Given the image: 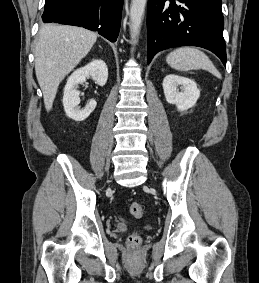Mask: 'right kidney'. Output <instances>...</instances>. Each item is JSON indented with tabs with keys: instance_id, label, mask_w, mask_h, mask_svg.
Masks as SVG:
<instances>
[{
	"instance_id": "obj_1",
	"label": "right kidney",
	"mask_w": 259,
	"mask_h": 283,
	"mask_svg": "<svg viewBox=\"0 0 259 283\" xmlns=\"http://www.w3.org/2000/svg\"><path fill=\"white\" fill-rule=\"evenodd\" d=\"M90 76L97 85L104 86L108 78L106 63L102 60H93L86 66L74 71L68 78L64 88L63 106L66 115L74 121L85 120L96 108L97 103L95 100H90L83 109L78 107L80 92L77 87Z\"/></svg>"
}]
</instances>
